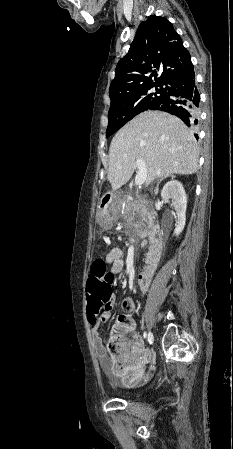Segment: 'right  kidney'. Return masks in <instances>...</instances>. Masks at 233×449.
Segmentation results:
<instances>
[{
  "mask_svg": "<svg viewBox=\"0 0 233 449\" xmlns=\"http://www.w3.org/2000/svg\"><path fill=\"white\" fill-rule=\"evenodd\" d=\"M161 197L165 201L171 200V206L174 207L177 219L174 234L178 236L185 227L187 196L183 185L177 180L169 181L162 189Z\"/></svg>",
  "mask_w": 233,
  "mask_h": 449,
  "instance_id": "right-kidney-1",
  "label": "right kidney"
}]
</instances>
